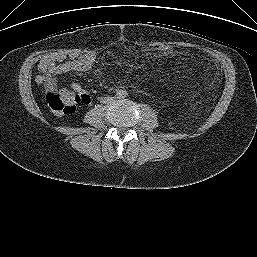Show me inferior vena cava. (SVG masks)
Here are the masks:
<instances>
[{
  "label": "inferior vena cava",
  "mask_w": 257,
  "mask_h": 257,
  "mask_svg": "<svg viewBox=\"0 0 257 257\" xmlns=\"http://www.w3.org/2000/svg\"><path fill=\"white\" fill-rule=\"evenodd\" d=\"M111 100H113V97H108L107 99L105 98L104 102H108V101H111Z\"/></svg>",
  "instance_id": "602c4592"
}]
</instances>
